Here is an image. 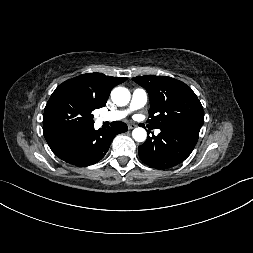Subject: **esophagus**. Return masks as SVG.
Returning <instances> with one entry per match:
<instances>
[{"label": "esophagus", "instance_id": "34e87169", "mask_svg": "<svg viewBox=\"0 0 253 253\" xmlns=\"http://www.w3.org/2000/svg\"><path fill=\"white\" fill-rule=\"evenodd\" d=\"M137 125L134 123L128 124V129H134Z\"/></svg>", "mask_w": 253, "mask_h": 253}]
</instances>
